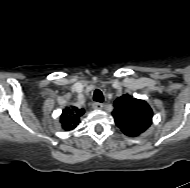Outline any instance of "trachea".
I'll list each match as a JSON object with an SVG mask.
<instances>
[{"mask_svg": "<svg viewBox=\"0 0 190 188\" xmlns=\"http://www.w3.org/2000/svg\"><path fill=\"white\" fill-rule=\"evenodd\" d=\"M93 100L100 103L103 102L104 97H103L102 92L99 89H96L94 91Z\"/></svg>", "mask_w": 190, "mask_h": 188, "instance_id": "trachea-1", "label": "trachea"}]
</instances>
